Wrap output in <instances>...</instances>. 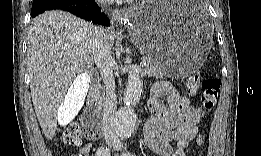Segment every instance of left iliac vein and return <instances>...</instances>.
<instances>
[{
  "label": "left iliac vein",
  "instance_id": "4c4485c4",
  "mask_svg": "<svg viewBox=\"0 0 261 156\" xmlns=\"http://www.w3.org/2000/svg\"><path fill=\"white\" fill-rule=\"evenodd\" d=\"M114 149L117 151H121L123 149V145L121 143H116L114 145Z\"/></svg>",
  "mask_w": 261,
  "mask_h": 156
}]
</instances>
